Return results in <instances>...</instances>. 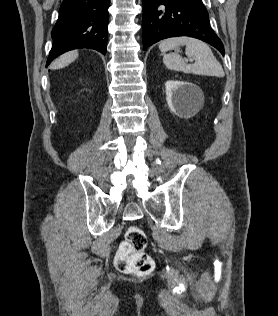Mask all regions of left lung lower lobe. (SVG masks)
I'll return each instance as SVG.
<instances>
[{"label":"left lung lower lobe","mask_w":278,"mask_h":316,"mask_svg":"<svg viewBox=\"0 0 278 316\" xmlns=\"http://www.w3.org/2000/svg\"><path fill=\"white\" fill-rule=\"evenodd\" d=\"M143 48L175 36L203 40L224 55V46L209 24L202 0H143Z\"/></svg>","instance_id":"0a47b994"}]
</instances>
